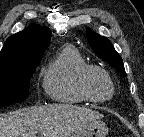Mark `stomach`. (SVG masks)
<instances>
[{
    "label": "stomach",
    "mask_w": 144,
    "mask_h": 137,
    "mask_svg": "<svg viewBox=\"0 0 144 137\" xmlns=\"http://www.w3.org/2000/svg\"><path fill=\"white\" fill-rule=\"evenodd\" d=\"M107 134V125L97 121L78 128L70 137H106Z\"/></svg>",
    "instance_id": "0dacf381"
}]
</instances>
